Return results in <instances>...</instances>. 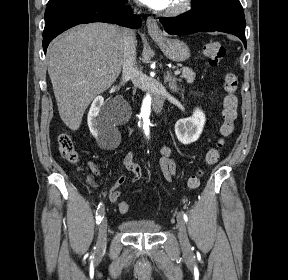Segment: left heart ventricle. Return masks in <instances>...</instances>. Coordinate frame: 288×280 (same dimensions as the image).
Returning a JSON list of instances; mask_svg holds the SVG:
<instances>
[{"label": "left heart ventricle", "instance_id": "obj_1", "mask_svg": "<svg viewBox=\"0 0 288 280\" xmlns=\"http://www.w3.org/2000/svg\"><path fill=\"white\" fill-rule=\"evenodd\" d=\"M180 0H171V3L169 5L168 8L173 7L174 5H176Z\"/></svg>", "mask_w": 288, "mask_h": 280}]
</instances>
